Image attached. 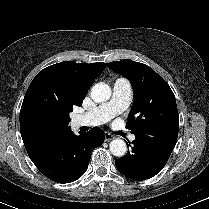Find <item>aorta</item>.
<instances>
[{
	"mask_svg": "<svg viewBox=\"0 0 209 209\" xmlns=\"http://www.w3.org/2000/svg\"><path fill=\"white\" fill-rule=\"evenodd\" d=\"M111 92L109 85L98 83L91 90V98L96 103L105 102L111 97ZM109 149L112 155L122 157L127 152V145L124 140L114 139L110 142Z\"/></svg>",
	"mask_w": 209,
	"mask_h": 209,
	"instance_id": "1",
	"label": "aorta"
}]
</instances>
